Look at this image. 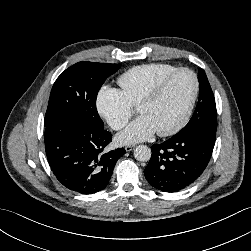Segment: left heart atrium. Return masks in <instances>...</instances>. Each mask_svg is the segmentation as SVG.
<instances>
[{
    "label": "left heart atrium",
    "instance_id": "obj_1",
    "mask_svg": "<svg viewBox=\"0 0 251 251\" xmlns=\"http://www.w3.org/2000/svg\"><path fill=\"white\" fill-rule=\"evenodd\" d=\"M156 132L149 119L140 115L128 127L118 135L117 140L121 144H132L150 138Z\"/></svg>",
    "mask_w": 251,
    "mask_h": 251
}]
</instances>
